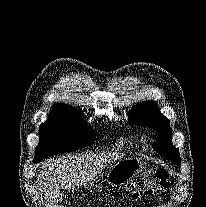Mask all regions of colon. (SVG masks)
Masks as SVG:
<instances>
[{"instance_id": "obj_1", "label": "colon", "mask_w": 206, "mask_h": 207, "mask_svg": "<svg viewBox=\"0 0 206 207\" xmlns=\"http://www.w3.org/2000/svg\"><path fill=\"white\" fill-rule=\"evenodd\" d=\"M169 187V174L166 169H148L132 180L125 198L135 200L145 194L159 195L167 192Z\"/></svg>"}]
</instances>
